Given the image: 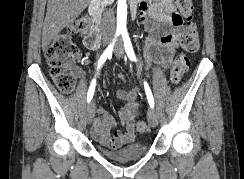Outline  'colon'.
I'll return each mask as SVG.
<instances>
[{
    "mask_svg": "<svg viewBox=\"0 0 244 179\" xmlns=\"http://www.w3.org/2000/svg\"><path fill=\"white\" fill-rule=\"evenodd\" d=\"M177 3V16H182L187 24V30L180 42V51L175 57L170 69L169 81L172 85H178L189 67L188 54L199 49V34L192 21L194 4L191 0H175ZM86 19H77L62 30L45 51V59L50 66V74L54 78L57 87L64 93H70L75 85V80L70 73L73 63L79 58V47L71 41L75 34H84L87 31ZM140 133L148 131V126L143 120L134 123Z\"/></svg>",
    "mask_w": 244,
    "mask_h": 179,
    "instance_id": "colon-1",
    "label": "colon"
}]
</instances>
